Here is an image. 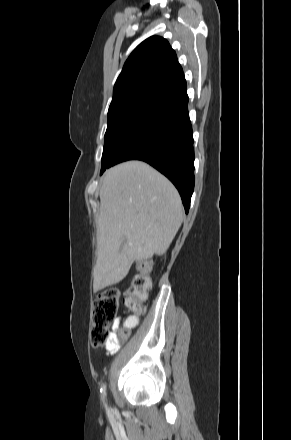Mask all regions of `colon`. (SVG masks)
Here are the masks:
<instances>
[{"label": "colon", "instance_id": "5ec220e1", "mask_svg": "<svg viewBox=\"0 0 291 440\" xmlns=\"http://www.w3.org/2000/svg\"><path fill=\"white\" fill-rule=\"evenodd\" d=\"M154 261L144 260L142 273L132 276L126 288H109L104 290L93 303L91 315L90 341L94 347L106 345L110 341V328L118 313V301L123 296L126 309L131 316H142L145 312L144 302L150 289L148 272L152 269ZM127 328L117 330L118 341L128 338Z\"/></svg>", "mask_w": 291, "mask_h": 440}]
</instances>
